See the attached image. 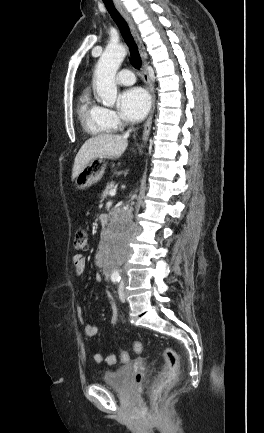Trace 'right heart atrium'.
I'll return each mask as SVG.
<instances>
[{
    "label": "right heart atrium",
    "instance_id": "d8ad5b80",
    "mask_svg": "<svg viewBox=\"0 0 264 433\" xmlns=\"http://www.w3.org/2000/svg\"><path fill=\"white\" fill-rule=\"evenodd\" d=\"M103 111L105 119L110 126L117 128L121 125V120L115 111L108 108H103Z\"/></svg>",
    "mask_w": 264,
    "mask_h": 433
}]
</instances>
